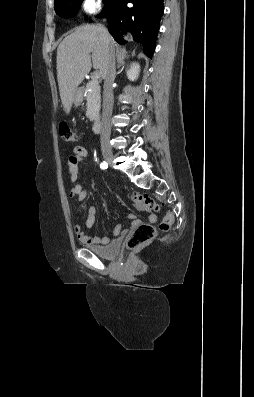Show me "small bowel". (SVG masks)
<instances>
[{
    "label": "small bowel",
    "instance_id": "c3829d8e",
    "mask_svg": "<svg viewBox=\"0 0 254 397\" xmlns=\"http://www.w3.org/2000/svg\"><path fill=\"white\" fill-rule=\"evenodd\" d=\"M88 156V151L83 146H76L73 150V154L68 159V172L71 183L73 184L69 196L70 198L76 199L78 202H82L87 197V190L84 189L79 180V164ZM128 217L133 220V227L137 226L140 221L135 219L133 214H128ZM96 218V208L90 207L88 209L87 218L85 225L88 229L92 228L95 223ZM150 222L156 221L155 215L149 216ZM73 231L76 234L78 240L88 246L99 245V244H107L109 242V238L107 237H92L87 235L83 230L80 224L73 225ZM126 233V230L122 231V226L119 224L115 227L114 234L119 235L120 233Z\"/></svg>",
    "mask_w": 254,
    "mask_h": 397
}]
</instances>
